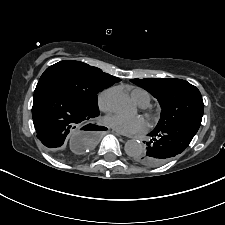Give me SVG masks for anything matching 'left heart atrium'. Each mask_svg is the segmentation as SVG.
Returning a JSON list of instances; mask_svg holds the SVG:
<instances>
[{"mask_svg": "<svg viewBox=\"0 0 225 225\" xmlns=\"http://www.w3.org/2000/svg\"><path fill=\"white\" fill-rule=\"evenodd\" d=\"M105 123L123 134H134L146 129V122L141 116L113 114L105 118Z\"/></svg>", "mask_w": 225, "mask_h": 225, "instance_id": "1", "label": "left heart atrium"}]
</instances>
